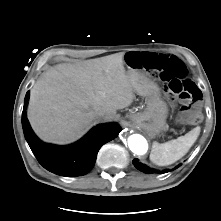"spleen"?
Returning <instances> with one entry per match:
<instances>
[{
	"mask_svg": "<svg viewBox=\"0 0 221 221\" xmlns=\"http://www.w3.org/2000/svg\"><path fill=\"white\" fill-rule=\"evenodd\" d=\"M200 134V127H196L177 139L163 144L154 142L150 153V160L158 166L175 163L187 154Z\"/></svg>",
	"mask_w": 221,
	"mask_h": 221,
	"instance_id": "spleen-1",
	"label": "spleen"
}]
</instances>
